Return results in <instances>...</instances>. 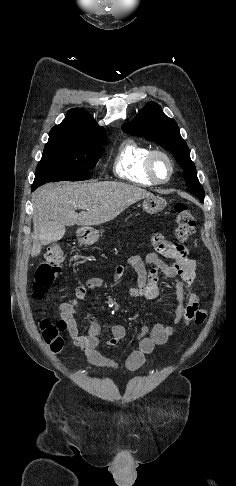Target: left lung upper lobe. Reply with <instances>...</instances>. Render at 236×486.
<instances>
[{"instance_id": "5c2ea615", "label": "left lung upper lobe", "mask_w": 236, "mask_h": 486, "mask_svg": "<svg viewBox=\"0 0 236 486\" xmlns=\"http://www.w3.org/2000/svg\"><path fill=\"white\" fill-rule=\"evenodd\" d=\"M123 131L135 136H144L170 151L184 168L187 191L204 201V190L198 181L196 168L190 159L189 148L181 137L174 119L167 117L155 102H149L136 118L122 126Z\"/></svg>"}]
</instances>
